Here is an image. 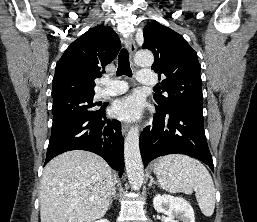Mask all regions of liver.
<instances>
[{
  "label": "liver",
  "instance_id": "1",
  "mask_svg": "<svg viewBox=\"0 0 257 222\" xmlns=\"http://www.w3.org/2000/svg\"><path fill=\"white\" fill-rule=\"evenodd\" d=\"M115 188L112 170L100 156L82 150L53 158L41 180V222H93L103 217Z\"/></svg>",
  "mask_w": 257,
  "mask_h": 222
}]
</instances>
